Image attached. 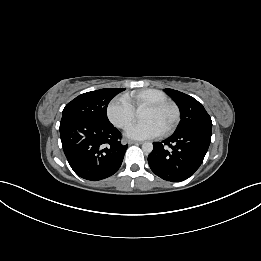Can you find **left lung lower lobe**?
I'll use <instances>...</instances> for the list:
<instances>
[{"instance_id": "left-lung-lower-lobe-1", "label": "left lung lower lobe", "mask_w": 261, "mask_h": 261, "mask_svg": "<svg viewBox=\"0 0 261 261\" xmlns=\"http://www.w3.org/2000/svg\"><path fill=\"white\" fill-rule=\"evenodd\" d=\"M211 133L210 126H200L175 132L162 142H154L153 151L148 156L151 170L171 182L189 178L203 162Z\"/></svg>"}]
</instances>
